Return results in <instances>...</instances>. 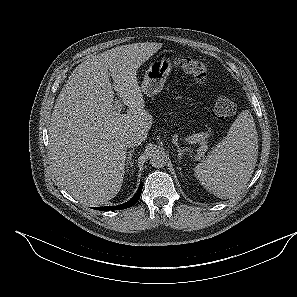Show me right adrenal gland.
Segmentation results:
<instances>
[{"instance_id":"right-adrenal-gland-1","label":"right adrenal gland","mask_w":297,"mask_h":297,"mask_svg":"<svg viewBox=\"0 0 297 297\" xmlns=\"http://www.w3.org/2000/svg\"><path fill=\"white\" fill-rule=\"evenodd\" d=\"M133 153H134V149L128 151L126 167H128L129 165H130V167H133V160H132Z\"/></svg>"}]
</instances>
